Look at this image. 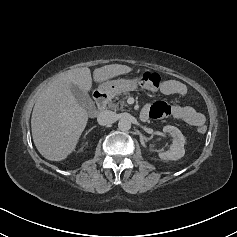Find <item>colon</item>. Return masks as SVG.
I'll list each match as a JSON object with an SVG mask.
<instances>
[{"label":"colon","mask_w":237,"mask_h":237,"mask_svg":"<svg viewBox=\"0 0 237 237\" xmlns=\"http://www.w3.org/2000/svg\"><path fill=\"white\" fill-rule=\"evenodd\" d=\"M139 81L144 89L156 91L160 87L161 77L156 72L145 71L142 73ZM205 131L206 127L204 125L198 128V132L200 133H204Z\"/></svg>","instance_id":"5ec220e1"}]
</instances>
